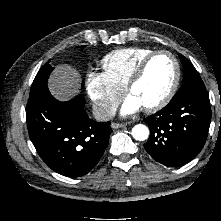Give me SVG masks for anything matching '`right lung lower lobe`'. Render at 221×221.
I'll return each instance as SVG.
<instances>
[{"instance_id": "obj_1", "label": "right lung lower lobe", "mask_w": 221, "mask_h": 221, "mask_svg": "<svg viewBox=\"0 0 221 221\" xmlns=\"http://www.w3.org/2000/svg\"><path fill=\"white\" fill-rule=\"evenodd\" d=\"M83 96L56 100L45 87L30 93L26 107L29 136L42 160L65 176L87 174L100 160L112 129L88 117Z\"/></svg>"}]
</instances>
